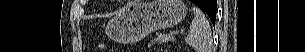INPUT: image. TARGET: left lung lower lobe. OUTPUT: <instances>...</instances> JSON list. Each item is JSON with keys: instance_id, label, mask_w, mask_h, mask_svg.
Masks as SVG:
<instances>
[{"instance_id": "obj_1", "label": "left lung lower lobe", "mask_w": 305, "mask_h": 52, "mask_svg": "<svg viewBox=\"0 0 305 52\" xmlns=\"http://www.w3.org/2000/svg\"><path fill=\"white\" fill-rule=\"evenodd\" d=\"M191 1L200 6L208 14L213 25H215L217 0H205L202 4H199L197 0Z\"/></svg>"}]
</instances>
